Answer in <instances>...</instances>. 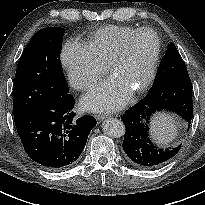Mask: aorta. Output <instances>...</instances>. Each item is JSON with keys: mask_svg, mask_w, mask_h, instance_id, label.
I'll return each mask as SVG.
<instances>
[{"mask_svg": "<svg viewBox=\"0 0 205 205\" xmlns=\"http://www.w3.org/2000/svg\"><path fill=\"white\" fill-rule=\"evenodd\" d=\"M102 130L107 136L118 138L125 134V125L119 119L110 118L103 122Z\"/></svg>", "mask_w": 205, "mask_h": 205, "instance_id": "762f6f07", "label": "aorta"}]
</instances>
